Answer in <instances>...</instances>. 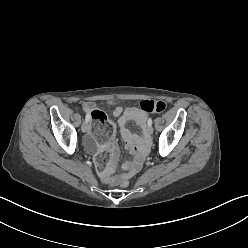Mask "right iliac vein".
Masks as SVG:
<instances>
[{
  "label": "right iliac vein",
  "mask_w": 248,
  "mask_h": 248,
  "mask_svg": "<svg viewBox=\"0 0 248 248\" xmlns=\"http://www.w3.org/2000/svg\"><path fill=\"white\" fill-rule=\"evenodd\" d=\"M90 129V125L87 121H84L81 127L82 132L86 133Z\"/></svg>",
  "instance_id": "1"
}]
</instances>
